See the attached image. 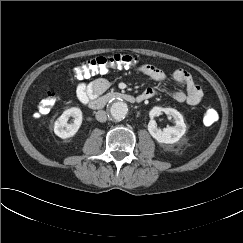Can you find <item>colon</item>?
<instances>
[{"label":"colon","mask_w":243,"mask_h":243,"mask_svg":"<svg viewBox=\"0 0 243 243\" xmlns=\"http://www.w3.org/2000/svg\"><path fill=\"white\" fill-rule=\"evenodd\" d=\"M139 62V58L131 54L117 53L112 56L96 57L91 60L85 61L74 68L73 73L79 79L89 78L98 73H105L109 68L133 66ZM58 97L53 92H48L46 97L40 101L35 117H40L49 112L57 102ZM218 119V113L215 109L206 108L203 113V121L206 125H212Z\"/></svg>","instance_id":"1"}]
</instances>
